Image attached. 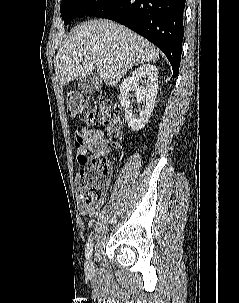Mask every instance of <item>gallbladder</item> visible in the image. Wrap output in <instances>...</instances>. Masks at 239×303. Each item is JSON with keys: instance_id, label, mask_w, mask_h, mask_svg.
<instances>
[{"instance_id": "1", "label": "gallbladder", "mask_w": 239, "mask_h": 303, "mask_svg": "<svg viewBox=\"0 0 239 303\" xmlns=\"http://www.w3.org/2000/svg\"><path fill=\"white\" fill-rule=\"evenodd\" d=\"M103 82L98 73H93L83 79L78 83V88L85 94H92L99 90Z\"/></svg>"}]
</instances>
